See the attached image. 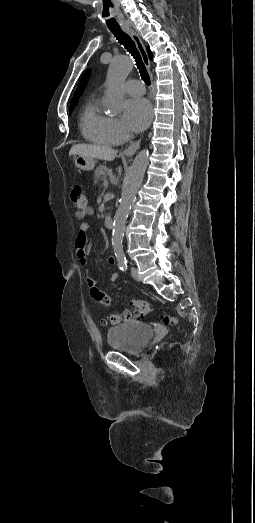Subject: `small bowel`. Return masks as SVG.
Masks as SVG:
<instances>
[{
  "label": "small bowel",
  "instance_id": "obj_1",
  "mask_svg": "<svg viewBox=\"0 0 255 523\" xmlns=\"http://www.w3.org/2000/svg\"><path fill=\"white\" fill-rule=\"evenodd\" d=\"M94 211L92 208L88 207L83 211H78L76 213V218L78 220H83L87 216L93 215ZM90 225L88 222H82L79 225L78 234L75 242V250H76V256L80 262V264L84 267L88 266V255L91 249V245L88 239V231H89ZM107 262L111 265L115 264V258L110 256L107 258ZM86 278L88 285H95V281L93 280L91 274L89 271L86 273ZM119 278V271L113 270L109 275V281L115 282Z\"/></svg>",
  "mask_w": 255,
  "mask_h": 523
}]
</instances>
